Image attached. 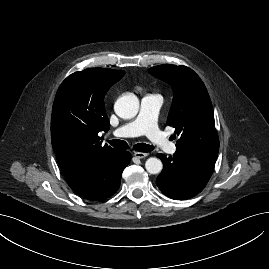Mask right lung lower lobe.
I'll use <instances>...</instances> for the list:
<instances>
[{
  "mask_svg": "<svg viewBox=\"0 0 269 269\" xmlns=\"http://www.w3.org/2000/svg\"><path fill=\"white\" fill-rule=\"evenodd\" d=\"M128 151H119L106 161L65 176L69 186L80 196L98 201L112 196L119 189L121 175L129 164Z\"/></svg>",
  "mask_w": 269,
  "mask_h": 269,
  "instance_id": "98d812e1",
  "label": "right lung lower lobe"
}]
</instances>
